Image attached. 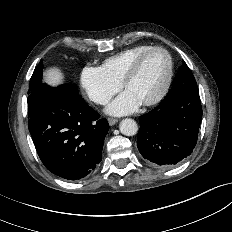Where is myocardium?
Here are the masks:
<instances>
[{
    "mask_svg": "<svg viewBox=\"0 0 232 232\" xmlns=\"http://www.w3.org/2000/svg\"><path fill=\"white\" fill-rule=\"evenodd\" d=\"M155 51H161V52L166 54L167 59H168V71H167V76H166L165 82H164L161 90L158 92V94L156 96L143 102L142 104L144 106H152V105H155V104L161 102L170 89L172 79H173V74H174V63H173V58L167 49H165L163 47H159V46H153V47H150L149 49L143 51L142 53H140L130 64V66L127 69V71H126V73L121 81V84H120L123 89H126L128 83L137 74L143 60L149 54H151Z\"/></svg>",
    "mask_w": 232,
    "mask_h": 232,
    "instance_id": "1",
    "label": "myocardium"
}]
</instances>
